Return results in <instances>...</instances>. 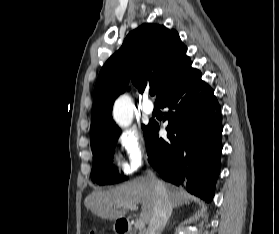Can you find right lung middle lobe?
Wrapping results in <instances>:
<instances>
[{
  "mask_svg": "<svg viewBox=\"0 0 279 234\" xmlns=\"http://www.w3.org/2000/svg\"><path fill=\"white\" fill-rule=\"evenodd\" d=\"M142 128L146 138L149 133L150 124L142 126ZM119 135L120 130L118 129L91 145L93 152L91 178L93 182L105 185L118 183L127 179V177H121L117 174L111 161L115 150L116 140Z\"/></svg>",
  "mask_w": 279,
  "mask_h": 234,
  "instance_id": "right-lung-middle-lobe-1",
  "label": "right lung middle lobe"
}]
</instances>
